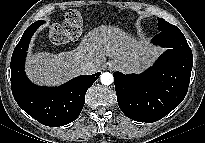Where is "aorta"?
I'll return each mask as SVG.
<instances>
[{
    "label": "aorta",
    "mask_w": 205,
    "mask_h": 143,
    "mask_svg": "<svg viewBox=\"0 0 205 143\" xmlns=\"http://www.w3.org/2000/svg\"><path fill=\"white\" fill-rule=\"evenodd\" d=\"M100 80H101V83L103 85H110V84L113 83L114 77H113V75L111 73L104 72V73L101 74Z\"/></svg>",
    "instance_id": "obj_1"
}]
</instances>
